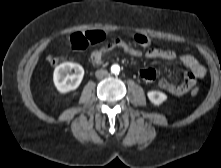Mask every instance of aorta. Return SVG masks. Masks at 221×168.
<instances>
[{"label":"aorta","instance_id":"obj_1","mask_svg":"<svg viewBox=\"0 0 221 168\" xmlns=\"http://www.w3.org/2000/svg\"><path fill=\"white\" fill-rule=\"evenodd\" d=\"M111 72L114 74H119L120 72V66L118 64H114L111 66Z\"/></svg>","mask_w":221,"mask_h":168}]
</instances>
